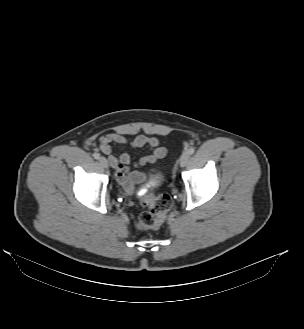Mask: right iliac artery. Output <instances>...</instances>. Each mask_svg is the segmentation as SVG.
<instances>
[{"mask_svg":"<svg viewBox=\"0 0 304 329\" xmlns=\"http://www.w3.org/2000/svg\"><path fill=\"white\" fill-rule=\"evenodd\" d=\"M93 157H94L95 159H99V158H100V154H99V153H94V154H93Z\"/></svg>","mask_w":304,"mask_h":329,"instance_id":"obj_1","label":"right iliac artery"}]
</instances>
